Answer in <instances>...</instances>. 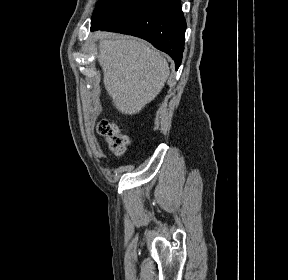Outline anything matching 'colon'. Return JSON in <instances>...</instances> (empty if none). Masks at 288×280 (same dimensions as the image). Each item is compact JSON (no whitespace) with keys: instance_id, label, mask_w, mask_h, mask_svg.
I'll return each mask as SVG.
<instances>
[{"instance_id":"obj_1","label":"colon","mask_w":288,"mask_h":280,"mask_svg":"<svg viewBox=\"0 0 288 280\" xmlns=\"http://www.w3.org/2000/svg\"><path fill=\"white\" fill-rule=\"evenodd\" d=\"M98 133L108 143L112 154L117 157L122 156L131 143L127 135L121 133L116 125L108 121H101L98 124Z\"/></svg>"}]
</instances>
